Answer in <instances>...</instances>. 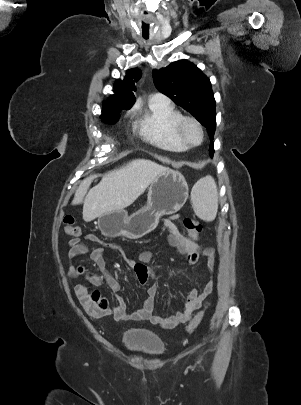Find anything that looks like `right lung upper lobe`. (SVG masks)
<instances>
[{
  "label": "right lung upper lobe",
  "instance_id": "obj_1",
  "mask_svg": "<svg viewBox=\"0 0 301 405\" xmlns=\"http://www.w3.org/2000/svg\"><path fill=\"white\" fill-rule=\"evenodd\" d=\"M141 71L137 68L129 69L126 72L125 79L117 80L114 85V95L104 102L103 112L112 113L118 110L129 109L135 102L134 82L141 78Z\"/></svg>",
  "mask_w": 301,
  "mask_h": 405
}]
</instances>
